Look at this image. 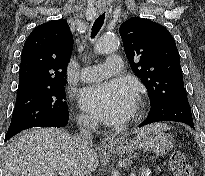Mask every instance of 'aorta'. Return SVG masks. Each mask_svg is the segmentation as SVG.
I'll return each instance as SVG.
<instances>
[{"instance_id":"obj_1","label":"aorta","mask_w":205,"mask_h":176,"mask_svg":"<svg viewBox=\"0 0 205 176\" xmlns=\"http://www.w3.org/2000/svg\"><path fill=\"white\" fill-rule=\"evenodd\" d=\"M119 38L115 35H105L95 45V51L99 54L111 53L118 49Z\"/></svg>"}]
</instances>
